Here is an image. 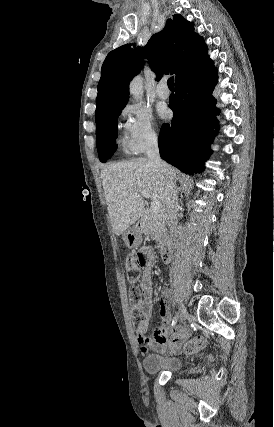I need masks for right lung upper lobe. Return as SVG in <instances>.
<instances>
[{
	"label": "right lung upper lobe",
	"mask_w": 274,
	"mask_h": 427,
	"mask_svg": "<svg viewBox=\"0 0 274 427\" xmlns=\"http://www.w3.org/2000/svg\"><path fill=\"white\" fill-rule=\"evenodd\" d=\"M207 51L203 38L194 31V24L179 14L173 15L144 48L132 49L126 44L107 55L98 84L96 113L127 99L129 82L140 72L144 56L157 80L170 72L177 82L189 71L212 61Z\"/></svg>",
	"instance_id": "right-lung-upper-lobe-1"
}]
</instances>
